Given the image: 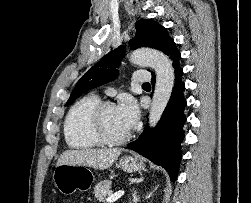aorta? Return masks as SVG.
Returning a JSON list of instances; mask_svg holds the SVG:
<instances>
[{"label":"aorta","mask_w":251,"mask_h":203,"mask_svg":"<svg viewBox=\"0 0 251 203\" xmlns=\"http://www.w3.org/2000/svg\"><path fill=\"white\" fill-rule=\"evenodd\" d=\"M131 61L139 66H150L156 73V84L149 112V124L154 127L160 120L174 86L175 75L170 59L161 51L142 48L131 54Z\"/></svg>","instance_id":"obj_1"}]
</instances>
